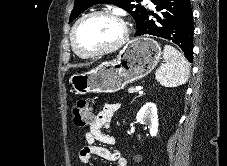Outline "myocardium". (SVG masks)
Instances as JSON below:
<instances>
[{
	"label": "myocardium",
	"instance_id": "1",
	"mask_svg": "<svg viewBox=\"0 0 227 166\" xmlns=\"http://www.w3.org/2000/svg\"><path fill=\"white\" fill-rule=\"evenodd\" d=\"M99 15L107 16V17H110V18L116 20L121 26L122 35H121L120 39L111 46L105 47L103 49L95 50V51H88V52L82 51L77 46L76 41H75V34L77 31V28L86 19L93 17V16H99ZM128 37H129V29H128L127 23L125 22V20L119 13H117L115 11H110V10H97V11H92V12H89V13L83 15L74 23L71 33H70V42H71V47H72L73 51L77 55L82 56V57L92 58V57L104 56V55L110 54L112 52H115L116 50L121 48L127 42Z\"/></svg>",
	"mask_w": 227,
	"mask_h": 166
}]
</instances>
